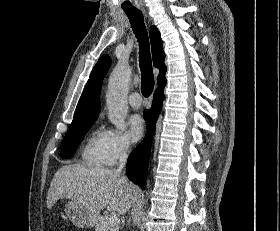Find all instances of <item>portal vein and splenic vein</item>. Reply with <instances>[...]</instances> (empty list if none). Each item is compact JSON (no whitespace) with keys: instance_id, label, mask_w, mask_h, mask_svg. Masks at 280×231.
Listing matches in <instances>:
<instances>
[{"instance_id":"portal-vein-and-splenic-vein-1","label":"portal vein and splenic vein","mask_w":280,"mask_h":231,"mask_svg":"<svg viewBox=\"0 0 280 231\" xmlns=\"http://www.w3.org/2000/svg\"><path fill=\"white\" fill-rule=\"evenodd\" d=\"M108 219V223H110V225H117V223H120V219L118 217V215H116V213H113V215H109V217H107Z\"/></svg>"}]
</instances>
